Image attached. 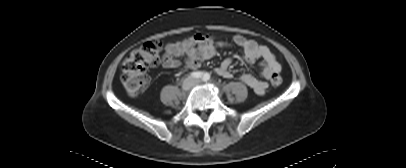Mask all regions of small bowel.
Masks as SVG:
<instances>
[{"instance_id": "1", "label": "small bowel", "mask_w": 406, "mask_h": 168, "mask_svg": "<svg viewBox=\"0 0 406 168\" xmlns=\"http://www.w3.org/2000/svg\"><path fill=\"white\" fill-rule=\"evenodd\" d=\"M232 41L242 50L245 63L260 62V78L243 74L240 81L249 86L256 94L263 95L268 86L267 81L274 73L281 71V65L273 52L265 45L258 44L240 34L234 35ZM225 46L224 42L216 43L211 35L196 34L181 41L168 43L161 63L165 68H177L181 65V58H183L186 67L195 69L201 65L203 60L211 59L216 54L218 47ZM231 63L230 57L225 58L216 69L217 74L224 78H231L232 73L229 70Z\"/></svg>"}]
</instances>
